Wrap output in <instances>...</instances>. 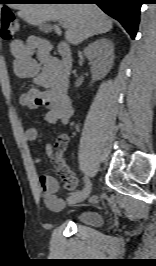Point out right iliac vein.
Returning a JSON list of instances; mask_svg holds the SVG:
<instances>
[{
  "mask_svg": "<svg viewBox=\"0 0 156 266\" xmlns=\"http://www.w3.org/2000/svg\"><path fill=\"white\" fill-rule=\"evenodd\" d=\"M91 187H92V184L90 182V185L88 186V188H84L80 193L74 194V195H71L70 197H68V199H67L68 204L74 205L76 203L84 201L89 196V194L91 192Z\"/></svg>",
  "mask_w": 156,
  "mask_h": 266,
  "instance_id": "obj_1",
  "label": "right iliac vein"
}]
</instances>
